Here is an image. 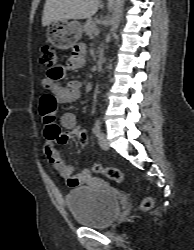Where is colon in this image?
Segmentation results:
<instances>
[{
	"label": "colon",
	"mask_w": 194,
	"mask_h": 250,
	"mask_svg": "<svg viewBox=\"0 0 194 250\" xmlns=\"http://www.w3.org/2000/svg\"><path fill=\"white\" fill-rule=\"evenodd\" d=\"M40 62L45 65L50 67V77L52 79H58L61 77L62 72H61V67H60V59L57 51L55 48L51 45H44L41 48V56H40ZM56 110V99L53 94L51 93H46L42 95L41 97V112L46 113V112H55ZM83 131H77L76 133H73L72 136H76L79 143L84 146L86 145L80 138V134ZM93 170L97 173H101L104 176H106L108 179L120 183L123 179L122 172L120 169L114 166H106L103 167L101 165L95 164L93 167ZM153 206V200L150 197L144 198L142 201L141 207L143 210H149Z\"/></svg>",
	"instance_id": "obj_1"
}]
</instances>
